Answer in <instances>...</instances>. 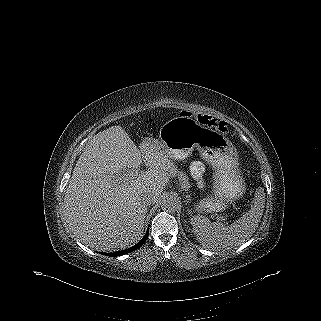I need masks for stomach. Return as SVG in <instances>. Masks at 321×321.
I'll return each mask as SVG.
<instances>
[{
	"mask_svg": "<svg viewBox=\"0 0 321 321\" xmlns=\"http://www.w3.org/2000/svg\"><path fill=\"white\" fill-rule=\"evenodd\" d=\"M170 159L184 160L195 149L215 169L214 198H207L198 204V209L218 212L242 191L237 176L238 158L231 142L220 133L201 126L191 117L179 116L167 121L160 128L159 140L146 138Z\"/></svg>",
	"mask_w": 321,
	"mask_h": 321,
	"instance_id": "obj_1",
	"label": "stomach"
}]
</instances>
